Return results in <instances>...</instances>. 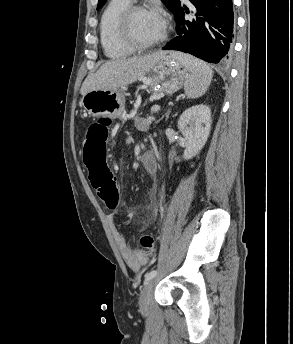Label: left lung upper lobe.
Segmentation results:
<instances>
[{
	"label": "left lung upper lobe",
	"mask_w": 293,
	"mask_h": 344,
	"mask_svg": "<svg viewBox=\"0 0 293 344\" xmlns=\"http://www.w3.org/2000/svg\"><path fill=\"white\" fill-rule=\"evenodd\" d=\"M165 6L173 13L179 4V0H161ZM106 0H99L97 5V10L101 9L105 4Z\"/></svg>",
	"instance_id": "left-lung-upper-lobe-1"
}]
</instances>
